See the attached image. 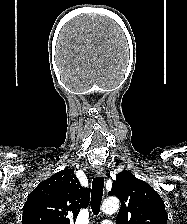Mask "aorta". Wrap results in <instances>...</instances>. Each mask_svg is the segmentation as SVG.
<instances>
[{
  "label": "aorta",
  "instance_id": "762f6f07",
  "mask_svg": "<svg viewBox=\"0 0 187 224\" xmlns=\"http://www.w3.org/2000/svg\"><path fill=\"white\" fill-rule=\"evenodd\" d=\"M119 200L116 197L106 199L102 204V211L105 214H113L119 209Z\"/></svg>",
  "mask_w": 187,
  "mask_h": 224
}]
</instances>
